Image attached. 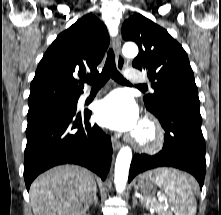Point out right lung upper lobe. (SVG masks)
<instances>
[{
  "label": "right lung upper lobe",
  "instance_id": "right-lung-upper-lobe-1",
  "mask_svg": "<svg viewBox=\"0 0 221 215\" xmlns=\"http://www.w3.org/2000/svg\"><path fill=\"white\" fill-rule=\"evenodd\" d=\"M109 44L106 26L87 14L60 33L45 52L30 85L29 108L75 100L84 78L98 74Z\"/></svg>",
  "mask_w": 221,
  "mask_h": 215
}]
</instances>
